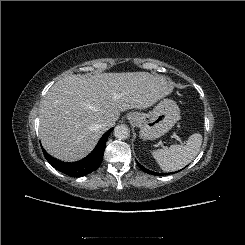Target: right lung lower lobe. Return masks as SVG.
I'll return each mask as SVG.
<instances>
[{"label":"right lung lower lobe","instance_id":"obj_1","mask_svg":"<svg viewBox=\"0 0 245 245\" xmlns=\"http://www.w3.org/2000/svg\"><path fill=\"white\" fill-rule=\"evenodd\" d=\"M113 130H108L99 140L98 144L96 145L95 149L84 159L77 161L75 163H62L57 159L50 156L43 148V154L47 161L57 170L71 176V177H81L87 175L94 170H96L103 159V154L106 146V141Z\"/></svg>","mask_w":245,"mask_h":245}]
</instances>
